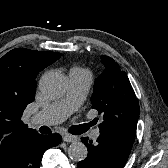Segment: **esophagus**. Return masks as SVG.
Masks as SVG:
<instances>
[{"label": "esophagus", "mask_w": 168, "mask_h": 168, "mask_svg": "<svg viewBox=\"0 0 168 168\" xmlns=\"http://www.w3.org/2000/svg\"><path fill=\"white\" fill-rule=\"evenodd\" d=\"M77 136H74V135H70V134H64L63 136V140L65 142H75L77 141Z\"/></svg>", "instance_id": "34e87169"}]
</instances>
